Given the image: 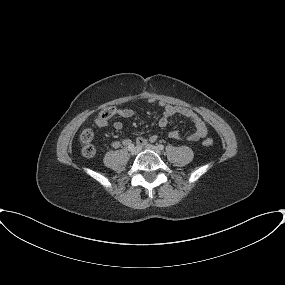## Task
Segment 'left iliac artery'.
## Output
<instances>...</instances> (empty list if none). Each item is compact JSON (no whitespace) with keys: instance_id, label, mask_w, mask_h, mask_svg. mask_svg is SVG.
Returning <instances> with one entry per match:
<instances>
[{"instance_id":"44dca946","label":"left iliac artery","mask_w":285,"mask_h":285,"mask_svg":"<svg viewBox=\"0 0 285 285\" xmlns=\"http://www.w3.org/2000/svg\"><path fill=\"white\" fill-rule=\"evenodd\" d=\"M158 149H159V150H163V149H164V146H163L162 144H159V145H158Z\"/></svg>"}]
</instances>
